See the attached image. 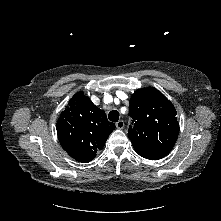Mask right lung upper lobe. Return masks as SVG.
Instances as JSON below:
<instances>
[{
	"label": "right lung upper lobe",
	"instance_id": "1",
	"mask_svg": "<svg viewBox=\"0 0 221 221\" xmlns=\"http://www.w3.org/2000/svg\"><path fill=\"white\" fill-rule=\"evenodd\" d=\"M105 112L97 108L82 91L69 101L57 121V134L62 148L75 160L88 163L96 157L114 130Z\"/></svg>",
	"mask_w": 221,
	"mask_h": 221
}]
</instances>
